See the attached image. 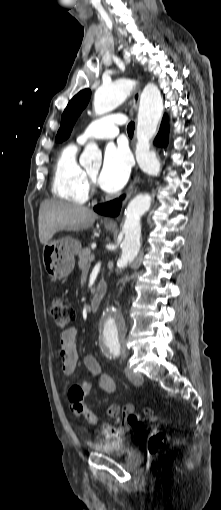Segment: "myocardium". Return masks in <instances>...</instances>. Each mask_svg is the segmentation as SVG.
I'll use <instances>...</instances> for the list:
<instances>
[{
	"label": "myocardium",
	"instance_id": "f54148a6",
	"mask_svg": "<svg viewBox=\"0 0 221 510\" xmlns=\"http://www.w3.org/2000/svg\"><path fill=\"white\" fill-rule=\"evenodd\" d=\"M86 176H87L89 194L90 193L96 194L97 193L96 178L92 177L89 173H86Z\"/></svg>",
	"mask_w": 221,
	"mask_h": 510
}]
</instances>
